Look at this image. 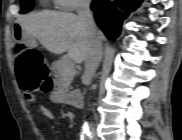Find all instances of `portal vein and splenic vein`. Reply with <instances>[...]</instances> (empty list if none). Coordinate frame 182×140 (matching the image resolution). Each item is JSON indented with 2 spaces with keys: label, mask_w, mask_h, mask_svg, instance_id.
I'll return each instance as SVG.
<instances>
[{
  "label": "portal vein and splenic vein",
  "mask_w": 182,
  "mask_h": 140,
  "mask_svg": "<svg viewBox=\"0 0 182 140\" xmlns=\"http://www.w3.org/2000/svg\"><path fill=\"white\" fill-rule=\"evenodd\" d=\"M66 60H67V61H72L71 58H69V57H67Z\"/></svg>",
  "instance_id": "portal-vein-and-splenic-vein-1"
}]
</instances>
